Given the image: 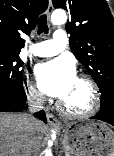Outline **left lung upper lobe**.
<instances>
[{
    "label": "left lung upper lobe",
    "instance_id": "5c2ea615",
    "mask_svg": "<svg viewBox=\"0 0 114 156\" xmlns=\"http://www.w3.org/2000/svg\"><path fill=\"white\" fill-rule=\"evenodd\" d=\"M70 12L71 51L99 87L101 107L114 105V18L106 0H52Z\"/></svg>",
    "mask_w": 114,
    "mask_h": 156
}]
</instances>
